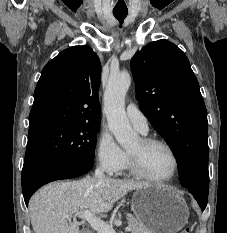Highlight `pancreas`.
<instances>
[{"label":"pancreas","instance_id":"pancreas-1","mask_svg":"<svg viewBox=\"0 0 227 233\" xmlns=\"http://www.w3.org/2000/svg\"><path fill=\"white\" fill-rule=\"evenodd\" d=\"M128 226L131 227V233H151L149 229L134 216L128 217Z\"/></svg>","mask_w":227,"mask_h":233}]
</instances>
